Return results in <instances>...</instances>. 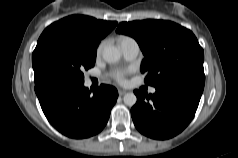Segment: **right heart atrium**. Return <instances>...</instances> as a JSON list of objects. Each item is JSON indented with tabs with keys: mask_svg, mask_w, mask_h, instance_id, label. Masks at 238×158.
Listing matches in <instances>:
<instances>
[{
	"mask_svg": "<svg viewBox=\"0 0 238 158\" xmlns=\"http://www.w3.org/2000/svg\"><path fill=\"white\" fill-rule=\"evenodd\" d=\"M103 45H104V43H101V44L98 46V48H97V54H100V53H101L102 48H103Z\"/></svg>",
	"mask_w": 238,
	"mask_h": 158,
	"instance_id": "obj_1",
	"label": "right heart atrium"
}]
</instances>
